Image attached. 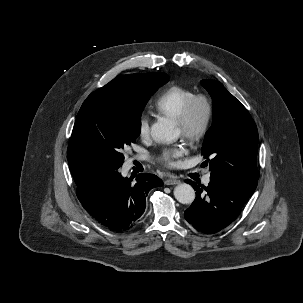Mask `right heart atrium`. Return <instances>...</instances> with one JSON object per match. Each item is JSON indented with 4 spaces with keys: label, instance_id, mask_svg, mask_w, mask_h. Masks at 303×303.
Masks as SVG:
<instances>
[{
    "label": "right heart atrium",
    "instance_id": "1",
    "mask_svg": "<svg viewBox=\"0 0 303 303\" xmlns=\"http://www.w3.org/2000/svg\"><path fill=\"white\" fill-rule=\"evenodd\" d=\"M138 134L142 139H147L150 136V121L146 115H141L139 118Z\"/></svg>",
    "mask_w": 303,
    "mask_h": 303
}]
</instances>
